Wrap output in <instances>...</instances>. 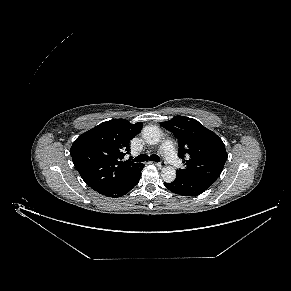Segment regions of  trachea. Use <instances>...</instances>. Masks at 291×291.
<instances>
[{
  "label": "trachea",
  "mask_w": 291,
  "mask_h": 291,
  "mask_svg": "<svg viewBox=\"0 0 291 291\" xmlns=\"http://www.w3.org/2000/svg\"><path fill=\"white\" fill-rule=\"evenodd\" d=\"M147 158L151 161H154V162L160 161V158L158 155L153 154V155L148 157L146 154H141L134 159V162H144L147 160Z\"/></svg>",
  "instance_id": "3493384b"
}]
</instances>
